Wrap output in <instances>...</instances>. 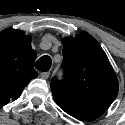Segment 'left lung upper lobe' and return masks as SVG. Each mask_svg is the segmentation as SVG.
Masks as SVG:
<instances>
[{
    "mask_svg": "<svg viewBox=\"0 0 125 125\" xmlns=\"http://www.w3.org/2000/svg\"><path fill=\"white\" fill-rule=\"evenodd\" d=\"M63 81L51 82L57 105L85 121L101 116L118 93V80L100 44L88 33L63 39Z\"/></svg>",
    "mask_w": 125,
    "mask_h": 125,
    "instance_id": "left-lung-upper-lobe-1",
    "label": "left lung upper lobe"
}]
</instances>
